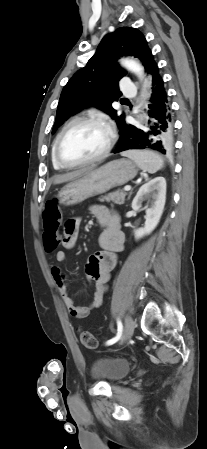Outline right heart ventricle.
<instances>
[{
  "label": "right heart ventricle",
  "mask_w": 207,
  "mask_h": 449,
  "mask_svg": "<svg viewBox=\"0 0 207 449\" xmlns=\"http://www.w3.org/2000/svg\"><path fill=\"white\" fill-rule=\"evenodd\" d=\"M56 139H57V137H56ZM56 139L54 140V142H53V144H52V149H51V161H52V165H53V167H54L55 169L61 170V169H63V167L60 166V165L58 164V162L56 161L55 155H54V146H55V141H56Z\"/></svg>",
  "instance_id": "e07e8e85"
}]
</instances>
